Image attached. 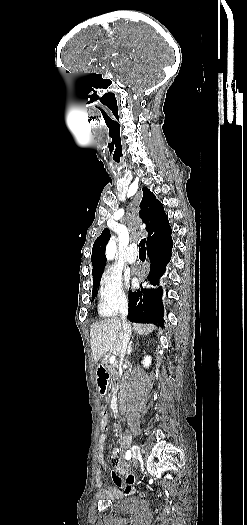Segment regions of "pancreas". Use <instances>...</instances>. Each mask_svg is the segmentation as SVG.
Instances as JSON below:
<instances>
[{
    "label": "pancreas",
    "mask_w": 247,
    "mask_h": 525,
    "mask_svg": "<svg viewBox=\"0 0 247 525\" xmlns=\"http://www.w3.org/2000/svg\"><path fill=\"white\" fill-rule=\"evenodd\" d=\"M103 365H105L106 369H108L109 373H111L114 381H117V363H110L108 362V359L103 358Z\"/></svg>",
    "instance_id": "cf45deb5"
}]
</instances>
